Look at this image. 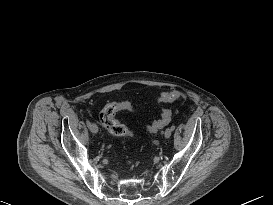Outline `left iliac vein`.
<instances>
[{"label":"left iliac vein","instance_id":"4c4485c4","mask_svg":"<svg viewBox=\"0 0 273 205\" xmlns=\"http://www.w3.org/2000/svg\"><path fill=\"white\" fill-rule=\"evenodd\" d=\"M171 133H172L171 128H167L164 132L165 138H169L171 136Z\"/></svg>","mask_w":273,"mask_h":205}]
</instances>
